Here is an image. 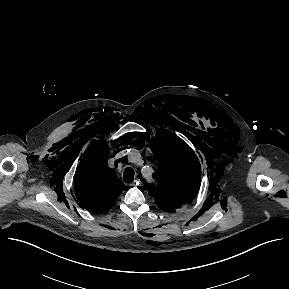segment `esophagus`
Returning <instances> with one entry per match:
<instances>
[{
  "mask_svg": "<svg viewBox=\"0 0 289 289\" xmlns=\"http://www.w3.org/2000/svg\"><path fill=\"white\" fill-rule=\"evenodd\" d=\"M139 183H140V179H139V177L137 176L136 179H135V181H134L131 185H132V186H135V185H139Z\"/></svg>",
  "mask_w": 289,
  "mask_h": 289,
  "instance_id": "1",
  "label": "esophagus"
}]
</instances>
